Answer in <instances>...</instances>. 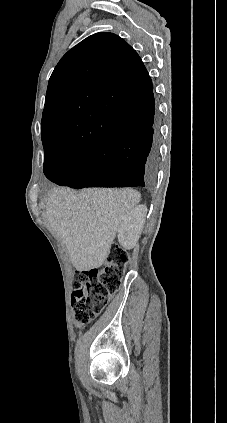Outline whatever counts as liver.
I'll list each match as a JSON object with an SVG mask.
<instances>
[{
  "label": "liver",
  "mask_w": 227,
  "mask_h": 423,
  "mask_svg": "<svg viewBox=\"0 0 227 423\" xmlns=\"http://www.w3.org/2000/svg\"><path fill=\"white\" fill-rule=\"evenodd\" d=\"M140 200L141 194L130 188H55L44 217L64 241L74 267L89 271L103 265L121 221Z\"/></svg>",
  "instance_id": "obj_1"
}]
</instances>
